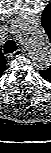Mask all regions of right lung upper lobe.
Returning <instances> with one entry per match:
<instances>
[{"label": "right lung upper lobe", "instance_id": "cb5924a9", "mask_svg": "<svg viewBox=\"0 0 51 153\" xmlns=\"http://www.w3.org/2000/svg\"><path fill=\"white\" fill-rule=\"evenodd\" d=\"M7 63V60L4 58L3 53L0 50V77L2 76Z\"/></svg>", "mask_w": 51, "mask_h": 153}]
</instances>
